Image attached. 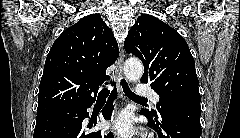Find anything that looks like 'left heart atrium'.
<instances>
[{
	"label": "left heart atrium",
	"mask_w": 240,
	"mask_h": 138,
	"mask_svg": "<svg viewBox=\"0 0 240 138\" xmlns=\"http://www.w3.org/2000/svg\"><path fill=\"white\" fill-rule=\"evenodd\" d=\"M114 130L123 136L130 135L133 132L132 121L128 114L122 113L113 122Z\"/></svg>",
	"instance_id": "1"
}]
</instances>
